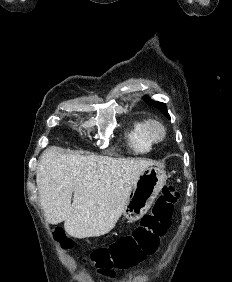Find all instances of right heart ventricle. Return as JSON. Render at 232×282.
Masks as SVG:
<instances>
[{"mask_svg": "<svg viewBox=\"0 0 232 282\" xmlns=\"http://www.w3.org/2000/svg\"><path fill=\"white\" fill-rule=\"evenodd\" d=\"M146 118H132L128 120L125 130V143L128 150L137 155L147 154L153 149L154 143L147 135Z\"/></svg>", "mask_w": 232, "mask_h": 282, "instance_id": "obj_1", "label": "right heart ventricle"}]
</instances>
